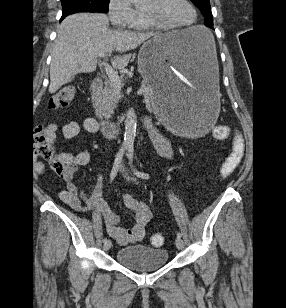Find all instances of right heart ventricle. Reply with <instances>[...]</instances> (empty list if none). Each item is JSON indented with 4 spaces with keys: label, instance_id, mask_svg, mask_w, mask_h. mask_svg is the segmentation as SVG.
<instances>
[{
    "label": "right heart ventricle",
    "instance_id": "obj_1",
    "mask_svg": "<svg viewBox=\"0 0 286 308\" xmlns=\"http://www.w3.org/2000/svg\"><path fill=\"white\" fill-rule=\"evenodd\" d=\"M135 30L139 31H158V30H164L162 28H158L154 26L152 23H150L145 15L141 16L140 22L138 25L134 28Z\"/></svg>",
    "mask_w": 286,
    "mask_h": 308
}]
</instances>
